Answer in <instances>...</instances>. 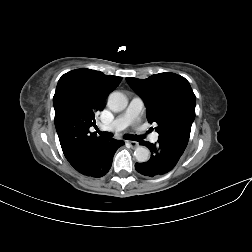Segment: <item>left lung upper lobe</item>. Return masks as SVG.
I'll use <instances>...</instances> for the list:
<instances>
[{
	"mask_svg": "<svg viewBox=\"0 0 252 252\" xmlns=\"http://www.w3.org/2000/svg\"><path fill=\"white\" fill-rule=\"evenodd\" d=\"M143 99L149 123H157L159 139L187 146L195 118L196 97L189 82L174 73H159L147 79L126 78Z\"/></svg>",
	"mask_w": 252,
	"mask_h": 252,
	"instance_id": "5c2ea615",
	"label": "left lung upper lobe"
}]
</instances>
